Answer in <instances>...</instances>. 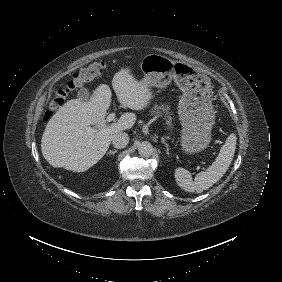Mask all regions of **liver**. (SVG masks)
<instances>
[{"instance_id": "6515ba94", "label": "liver", "mask_w": 282, "mask_h": 282, "mask_svg": "<svg viewBox=\"0 0 282 282\" xmlns=\"http://www.w3.org/2000/svg\"><path fill=\"white\" fill-rule=\"evenodd\" d=\"M112 86L122 106L132 110L146 108L153 98L148 84L138 82L128 69L115 73ZM111 96L109 86L101 84L89 101L72 99L59 107L41 139L43 157L50 165L84 172L105 155L113 135L133 127L134 113H125L117 122L106 124Z\"/></svg>"}]
</instances>
